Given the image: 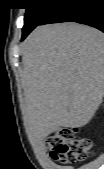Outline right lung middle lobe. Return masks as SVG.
Returning <instances> with one entry per match:
<instances>
[{"label": "right lung middle lobe", "mask_w": 104, "mask_h": 169, "mask_svg": "<svg viewBox=\"0 0 104 169\" xmlns=\"http://www.w3.org/2000/svg\"><path fill=\"white\" fill-rule=\"evenodd\" d=\"M55 0H26L23 36L29 34L55 9Z\"/></svg>", "instance_id": "1"}]
</instances>
